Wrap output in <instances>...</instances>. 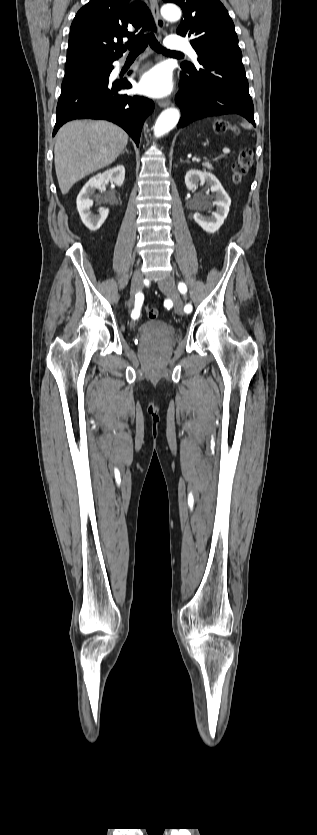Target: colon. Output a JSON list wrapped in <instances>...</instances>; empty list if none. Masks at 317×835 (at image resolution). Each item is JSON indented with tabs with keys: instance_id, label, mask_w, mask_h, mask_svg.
I'll return each instance as SVG.
<instances>
[{
	"instance_id": "colon-1",
	"label": "colon",
	"mask_w": 317,
	"mask_h": 835,
	"mask_svg": "<svg viewBox=\"0 0 317 835\" xmlns=\"http://www.w3.org/2000/svg\"><path fill=\"white\" fill-rule=\"evenodd\" d=\"M213 129L216 133H226L228 131H233L234 133L238 134L239 131L235 128H232L230 124L225 120H218L214 123ZM253 164V151L250 148L242 149L231 167V174L232 180L234 183H240L246 173L248 172L249 168ZM146 314L149 319L155 320L158 318L159 313L158 310L154 307H147Z\"/></svg>"
}]
</instances>
